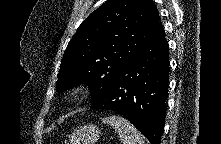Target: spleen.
<instances>
[{
    "instance_id": "obj_1",
    "label": "spleen",
    "mask_w": 221,
    "mask_h": 144,
    "mask_svg": "<svg viewBox=\"0 0 221 144\" xmlns=\"http://www.w3.org/2000/svg\"><path fill=\"white\" fill-rule=\"evenodd\" d=\"M102 122L111 125L123 139L124 144H144L143 135L127 119L112 115L103 118Z\"/></svg>"
}]
</instances>
